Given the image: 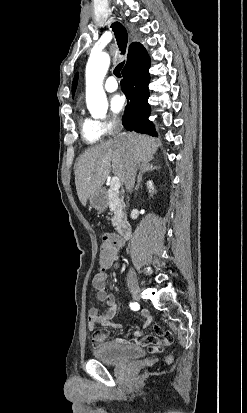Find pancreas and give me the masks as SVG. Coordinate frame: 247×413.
Returning <instances> with one entry per match:
<instances>
[{"instance_id": "1", "label": "pancreas", "mask_w": 247, "mask_h": 413, "mask_svg": "<svg viewBox=\"0 0 247 413\" xmlns=\"http://www.w3.org/2000/svg\"><path fill=\"white\" fill-rule=\"evenodd\" d=\"M107 194L109 198V209L114 213L111 219L112 225L113 227H116V231H118L119 225L122 223L121 219L124 217L120 204V194L119 192H116V190H112V188H108Z\"/></svg>"}]
</instances>
